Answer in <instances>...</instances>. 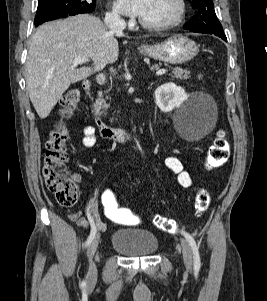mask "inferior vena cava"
I'll use <instances>...</instances> for the list:
<instances>
[{"label":"inferior vena cava","instance_id":"inferior-vena-cava-1","mask_svg":"<svg viewBox=\"0 0 267 301\" xmlns=\"http://www.w3.org/2000/svg\"><path fill=\"white\" fill-rule=\"evenodd\" d=\"M104 22L112 33L121 34L125 28V22L117 14L106 15Z\"/></svg>","mask_w":267,"mask_h":301}]
</instances>
